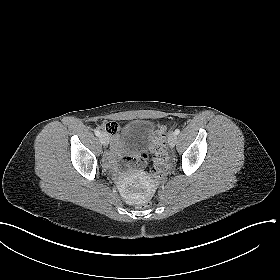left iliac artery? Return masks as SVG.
Here are the masks:
<instances>
[{
  "label": "left iliac artery",
  "instance_id": "obj_1",
  "mask_svg": "<svg viewBox=\"0 0 280 280\" xmlns=\"http://www.w3.org/2000/svg\"><path fill=\"white\" fill-rule=\"evenodd\" d=\"M176 135H178L180 133V130L179 129H176L175 132H174Z\"/></svg>",
  "mask_w": 280,
  "mask_h": 280
}]
</instances>
